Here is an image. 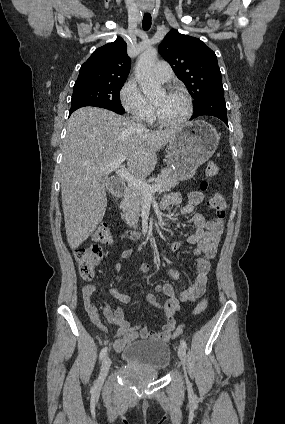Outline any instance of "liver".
Here are the masks:
<instances>
[{
  "label": "liver",
  "mask_w": 285,
  "mask_h": 424,
  "mask_svg": "<svg viewBox=\"0 0 285 424\" xmlns=\"http://www.w3.org/2000/svg\"><path fill=\"white\" fill-rule=\"evenodd\" d=\"M179 130L142 129L126 117L97 107H83L71 115L60 165L62 207L71 249L78 248L105 215V172L100 169L125 156L127 169L145 178L155 168L157 151Z\"/></svg>",
  "instance_id": "1"
}]
</instances>
